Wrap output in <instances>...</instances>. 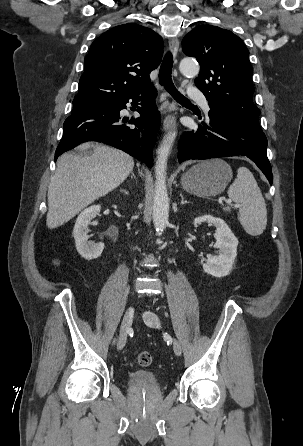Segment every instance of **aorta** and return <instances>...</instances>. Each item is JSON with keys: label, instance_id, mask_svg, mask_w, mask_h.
<instances>
[{"label": "aorta", "instance_id": "obj_1", "mask_svg": "<svg viewBox=\"0 0 303 446\" xmlns=\"http://www.w3.org/2000/svg\"><path fill=\"white\" fill-rule=\"evenodd\" d=\"M180 71L186 76H196L199 73V65L191 59H183L180 63ZM176 134V131L167 133L156 151V181L152 217L154 227L159 234L165 230L168 224L169 198L166 186V168L168 156L175 141ZM157 243H161L160 239L157 240Z\"/></svg>", "mask_w": 303, "mask_h": 446}]
</instances>
